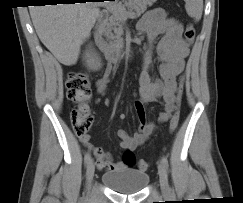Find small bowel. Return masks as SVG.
I'll return each mask as SVG.
<instances>
[{
	"mask_svg": "<svg viewBox=\"0 0 243 203\" xmlns=\"http://www.w3.org/2000/svg\"><path fill=\"white\" fill-rule=\"evenodd\" d=\"M137 30L147 38V46L142 57V71L140 74L141 99L134 102L139 127L137 131L129 134L120 129L117 134L120 139V147L125 150H135L143 144L155 131L156 125L150 120L146 105L148 103H160L163 111L159 114V122L169 120L175 109V93L177 78L185 67V58L189 49L182 39V26L174 18L166 16L162 9L148 11L139 21ZM161 38L158 40V37ZM158 64V76L153 73V67ZM112 66L108 65L101 79L97 82V90L105 94ZM105 105L109 104L106 99ZM124 120L125 115L121 114ZM81 141L94 154L99 169L115 170L123 168L121 162H114L110 154L93 146L88 137H81Z\"/></svg>",
	"mask_w": 243,
	"mask_h": 203,
	"instance_id": "obj_1",
	"label": "small bowel"
}]
</instances>
